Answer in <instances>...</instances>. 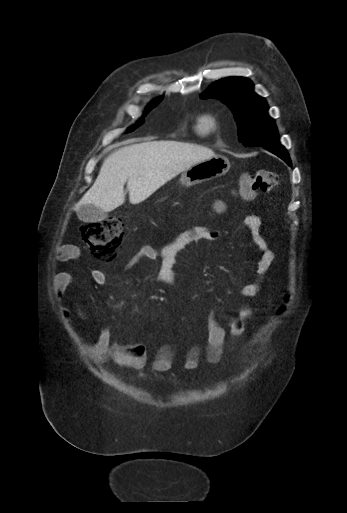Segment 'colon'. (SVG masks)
<instances>
[{"label": "colon", "mask_w": 347, "mask_h": 513, "mask_svg": "<svg viewBox=\"0 0 347 513\" xmlns=\"http://www.w3.org/2000/svg\"><path fill=\"white\" fill-rule=\"evenodd\" d=\"M277 184V174L273 171L260 170L255 173H245L239 182V195L252 199L257 193L270 191ZM225 210L223 202L217 201L213 211L221 214ZM83 240L93 253L101 258H111L120 247L124 234L123 223L119 218H109L100 222L88 223L82 226ZM76 252H73V256Z\"/></svg>", "instance_id": "obj_1"}]
</instances>
